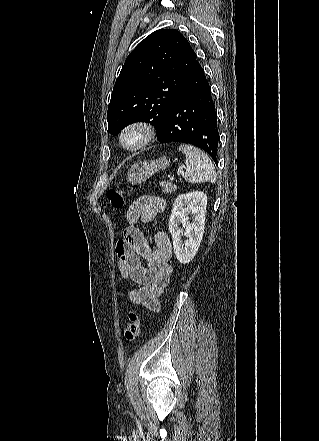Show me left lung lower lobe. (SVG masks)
<instances>
[{
    "label": "left lung lower lobe",
    "mask_w": 319,
    "mask_h": 441,
    "mask_svg": "<svg viewBox=\"0 0 319 441\" xmlns=\"http://www.w3.org/2000/svg\"><path fill=\"white\" fill-rule=\"evenodd\" d=\"M157 138L162 144L181 142L195 145L206 151L217 164V112L211 88L200 65L179 92Z\"/></svg>",
    "instance_id": "0a47b994"
}]
</instances>
